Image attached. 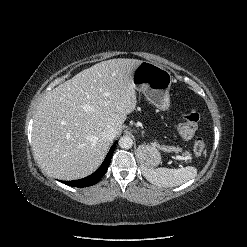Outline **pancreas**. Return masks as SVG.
Masks as SVG:
<instances>
[{
	"instance_id": "obj_1",
	"label": "pancreas",
	"mask_w": 247,
	"mask_h": 247,
	"mask_svg": "<svg viewBox=\"0 0 247 247\" xmlns=\"http://www.w3.org/2000/svg\"><path fill=\"white\" fill-rule=\"evenodd\" d=\"M164 149L168 152H175V153L182 152V149L180 147H174V146L165 147Z\"/></svg>"
}]
</instances>
